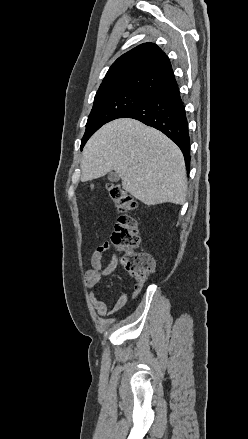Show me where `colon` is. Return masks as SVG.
Listing matches in <instances>:
<instances>
[{
    "mask_svg": "<svg viewBox=\"0 0 248 439\" xmlns=\"http://www.w3.org/2000/svg\"><path fill=\"white\" fill-rule=\"evenodd\" d=\"M107 190L121 215L118 217L111 237L113 245L124 251L122 264L134 277L135 285L142 286L148 275L153 272L155 264L147 253L136 252L140 236L135 219L129 214L136 203L131 195L118 184H108Z\"/></svg>",
    "mask_w": 248,
    "mask_h": 439,
    "instance_id": "1",
    "label": "colon"
}]
</instances>
